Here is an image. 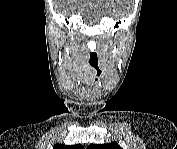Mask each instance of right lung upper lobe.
Wrapping results in <instances>:
<instances>
[{"label": "right lung upper lobe", "instance_id": "right-lung-upper-lobe-1", "mask_svg": "<svg viewBox=\"0 0 177 149\" xmlns=\"http://www.w3.org/2000/svg\"><path fill=\"white\" fill-rule=\"evenodd\" d=\"M82 149L83 146L82 145H73V146H67V145H63V144H57L54 146V149Z\"/></svg>", "mask_w": 177, "mask_h": 149}]
</instances>
